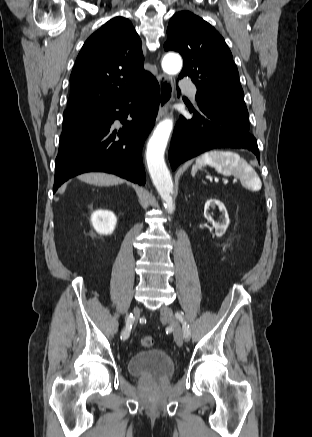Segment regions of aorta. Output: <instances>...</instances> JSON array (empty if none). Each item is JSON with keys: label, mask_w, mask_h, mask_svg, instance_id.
Here are the masks:
<instances>
[{"label": "aorta", "mask_w": 312, "mask_h": 437, "mask_svg": "<svg viewBox=\"0 0 312 437\" xmlns=\"http://www.w3.org/2000/svg\"><path fill=\"white\" fill-rule=\"evenodd\" d=\"M162 68L168 74H177L182 68L181 57L177 54H167L162 61ZM172 128L171 119H165L159 123L147 144L146 151L147 166L152 182L170 213H173L175 209L172 199L173 182L164 160V153Z\"/></svg>", "instance_id": "obj_1"}]
</instances>
